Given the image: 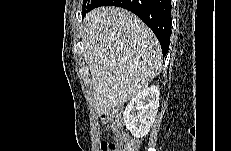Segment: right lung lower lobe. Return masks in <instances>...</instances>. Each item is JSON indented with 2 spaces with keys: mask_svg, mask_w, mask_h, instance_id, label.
Here are the masks:
<instances>
[{
  "mask_svg": "<svg viewBox=\"0 0 231 151\" xmlns=\"http://www.w3.org/2000/svg\"><path fill=\"white\" fill-rule=\"evenodd\" d=\"M99 6H117L136 14L157 36L163 56L167 54L171 34V0H92L86 13Z\"/></svg>",
  "mask_w": 231,
  "mask_h": 151,
  "instance_id": "1",
  "label": "right lung lower lobe"
}]
</instances>
